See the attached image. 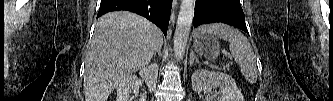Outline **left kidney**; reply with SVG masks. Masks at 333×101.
Instances as JSON below:
<instances>
[{"instance_id": "left-kidney-1", "label": "left kidney", "mask_w": 333, "mask_h": 101, "mask_svg": "<svg viewBox=\"0 0 333 101\" xmlns=\"http://www.w3.org/2000/svg\"><path fill=\"white\" fill-rule=\"evenodd\" d=\"M214 87H219L221 90L218 101H244L241 91L230 75L205 69L193 73L192 88L195 92L209 91Z\"/></svg>"}]
</instances>
